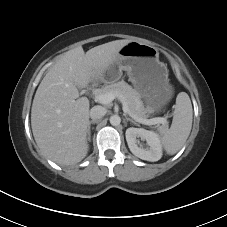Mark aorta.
<instances>
[{
    "mask_svg": "<svg viewBox=\"0 0 227 227\" xmlns=\"http://www.w3.org/2000/svg\"><path fill=\"white\" fill-rule=\"evenodd\" d=\"M110 123L113 126H118L121 123V118L118 115H112L110 117Z\"/></svg>",
    "mask_w": 227,
    "mask_h": 227,
    "instance_id": "obj_1",
    "label": "aorta"
}]
</instances>
